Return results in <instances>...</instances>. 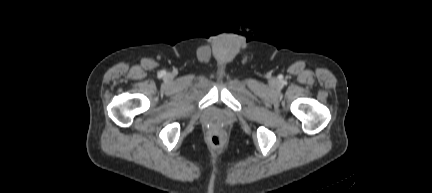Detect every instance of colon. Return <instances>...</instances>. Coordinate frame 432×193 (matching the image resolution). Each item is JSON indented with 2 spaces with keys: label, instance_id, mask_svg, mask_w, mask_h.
Returning <instances> with one entry per match:
<instances>
[{
  "label": "colon",
  "instance_id": "colon-1",
  "mask_svg": "<svg viewBox=\"0 0 432 193\" xmlns=\"http://www.w3.org/2000/svg\"><path fill=\"white\" fill-rule=\"evenodd\" d=\"M226 140L225 135L222 132H216L211 136V142L215 146H221Z\"/></svg>",
  "mask_w": 432,
  "mask_h": 193
}]
</instances>
